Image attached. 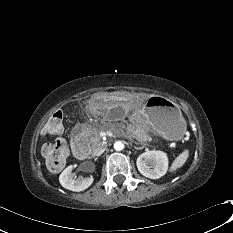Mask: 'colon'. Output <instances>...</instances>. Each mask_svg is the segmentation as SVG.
I'll return each mask as SVG.
<instances>
[{
	"label": "colon",
	"instance_id": "5ec220e1",
	"mask_svg": "<svg viewBox=\"0 0 233 233\" xmlns=\"http://www.w3.org/2000/svg\"><path fill=\"white\" fill-rule=\"evenodd\" d=\"M63 113L55 111L47 121L44 127V133L47 135H58L63 130ZM43 154L46 159L47 167L51 171L60 170L66 162L68 147L63 139H57L54 142H48L43 147Z\"/></svg>",
	"mask_w": 233,
	"mask_h": 233
}]
</instances>
